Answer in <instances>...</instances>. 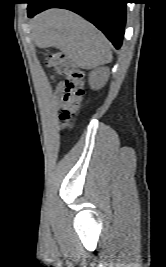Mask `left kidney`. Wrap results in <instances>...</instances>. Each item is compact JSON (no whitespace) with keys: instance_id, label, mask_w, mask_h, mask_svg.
I'll list each match as a JSON object with an SVG mask.
<instances>
[{"instance_id":"5707ae66","label":"left kidney","mask_w":166,"mask_h":267,"mask_svg":"<svg viewBox=\"0 0 166 267\" xmlns=\"http://www.w3.org/2000/svg\"><path fill=\"white\" fill-rule=\"evenodd\" d=\"M89 84L92 89H99L103 85L102 70L96 69L89 74Z\"/></svg>"}]
</instances>
